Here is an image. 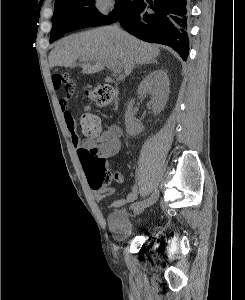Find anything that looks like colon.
Listing matches in <instances>:
<instances>
[{"label": "colon", "instance_id": "colon-1", "mask_svg": "<svg viewBox=\"0 0 245 300\" xmlns=\"http://www.w3.org/2000/svg\"><path fill=\"white\" fill-rule=\"evenodd\" d=\"M55 89L64 87L68 94H72L75 89V81L67 72L56 73L52 77ZM89 96L100 106H108L113 102L114 90L110 85H100L93 90H85ZM79 126L83 136L90 141L96 142L100 134L99 118L85 109L79 113ZM80 161L87 175L90 186L98 190L101 186L110 180L107 171V160L97 154L96 148L81 149Z\"/></svg>", "mask_w": 245, "mask_h": 300}]
</instances>
